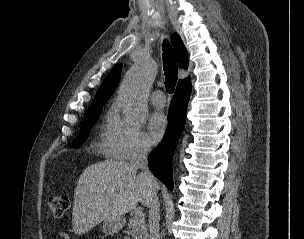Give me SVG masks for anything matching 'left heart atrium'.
I'll return each instance as SVG.
<instances>
[{"label": "left heart atrium", "mask_w": 304, "mask_h": 239, "mask_svg": "<svg viewBox=\"0 0 304 239\" xmlns=\"http://www.w3.org/2000/svg\"><path fill=\"white\" fill-rule=\"evenodd\" d=\"M167 118L161 111H157L149 119L148 122V140L151 144L158 143L167 128Z\"/></svg>", "instance_id": "left-heart-atrium-1"}]
</instances>
